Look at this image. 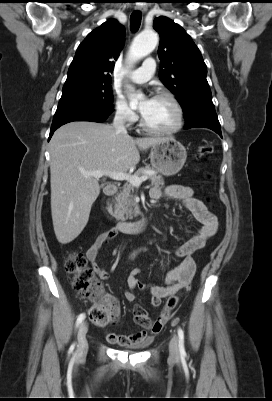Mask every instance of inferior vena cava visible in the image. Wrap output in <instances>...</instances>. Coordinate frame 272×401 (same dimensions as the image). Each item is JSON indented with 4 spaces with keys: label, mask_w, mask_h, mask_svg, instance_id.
<instances>
[{
    "label": "inferior vena cava",
    "mask_w": 272,
    "mask_h": 401,
    "mask_svg": "<svg viewBox=\"0 0 272 401\" xmlns=\"http://www.w3.org/2000/svg\"><path fill=\"white\" fill-rule=\"evenodd\" d=\"M127 113L120 111L115 114L112 127L115 129L117 133L127 135V130L125 128Z\"/></svg>",
    "instance_id": "602c4592"
}]
</instances>
